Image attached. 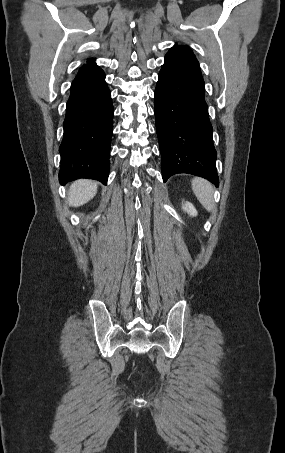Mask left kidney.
<instances>
[{
  "label": "left kidney",
  "mask_w": 285,
  "mask_h": 453,
  "mask_svg": "<svg viewBox=\"0 0 285 453\" xmlns=\"http://www.w3.org/2000/svg\"><path fill=\"white\" fill-rule=\"evenodd\" d=\"M182 208L185 212H187L190 216H197L198 212L194 205L188 201L182 203Z\"/></svg>",
  "instance_id": "5707ae66"
}]
</instances>
